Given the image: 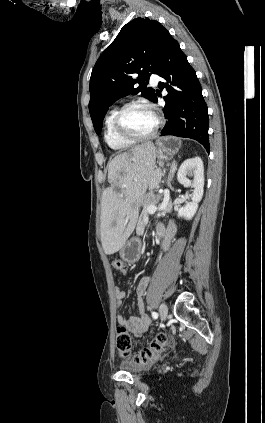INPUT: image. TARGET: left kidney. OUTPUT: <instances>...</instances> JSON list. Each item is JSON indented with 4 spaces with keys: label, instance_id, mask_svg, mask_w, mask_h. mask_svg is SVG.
<instances>
[{
    "label": "left kidney",
    "instance_id": "obj_1",
    "mask_svg": "<svg viewBox=\"0 0 265 423\" xmlns=\"http://www.w3.org/2000/svg\"><path fill=\"white\" fill-rule=\"evenodd\" d=\"M191 175L194 176L193 180L188 178ZM177 179L184 187L194 188L192 201L178 210L179 218L183 217L186 220H190L194 217L204 192V166L202 159L200 157L186 159L178 169Z\"/></svg>",
    "mask_w": 265,
    "mask_h": 423
}]
</instances>
